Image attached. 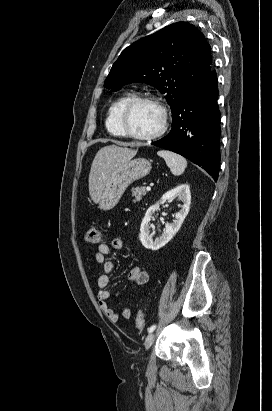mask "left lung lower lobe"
I'll return each mask as SVG.
<instances>
[{
	"label": "left lung lower lobe",
	"mask_w": 272,
	"mask_h": 411,
	"mask_svg": "<svg viewBox=\"0 0 272 411\" xmlns=\"http://www.w3.org/2000/svg\"><path fill=\"white\" fill-rule=\"evenodd\" d=\"M216 72L212 70L172 113L170 133L151 143L178 153L205 169L216 181L220 168V112Z\"/></svg>",
	"instance_id": "1"
}]
</instances>
